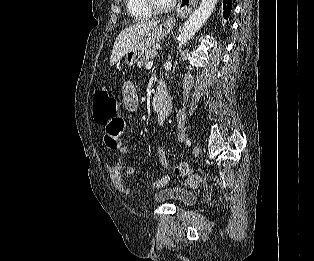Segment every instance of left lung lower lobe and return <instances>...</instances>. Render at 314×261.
I'll use <instances>...</instances> for the list:
<instances>
[{"label": "left lung lower lobe", "mask_w": 314, "mask_h": 261, "mask_svg": "<svg viewBox=\"0 0 314 261\" xmlns=\"http://www.w3.org/2000/svg\"><path fill=\"white\" fill-rule=\"evenodd\" d=\"M232 9V0H223L224 18H228Z\"/></svg>", "instance_id": "0a47b994"}]
</instances>
